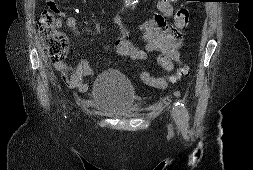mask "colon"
<instances>
[{
    "label": "colon",
    "instance_id": "1",
    "mask_svg": "<svg viewBox=\"0 0 253 170\" xmlns=\"http://www.w3.org/2000/svg\"><path fill=\"white\" fill-rule=\"evenodd\" d=\"M190 12L187 7H181L176 14L177 25L183 27L188 23ZM38 27L41 33L47 54L52 62H61L68 52L67 37L56 29L54 15L49 11H42L38 20ZM184 72V70H182ZM176 76L170 77V80H176ZM148 83L156 86L157 83L149 80Z\"/></svg>",
    "mask_w": 253,
    "mask_h": 170
}]
</instances>
